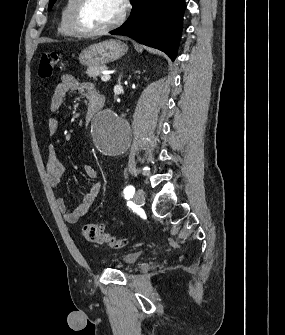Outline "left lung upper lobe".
<instances>
[{
  "label": "left lung upper lobe",
  "instance_id": "1",
  "mask_svg": "<svg viewBox=\"0 0 285 335\" xmlns=\"http://www.w3.org/2000/svg\"><path fill=\"white\" fill-rule=\"evenodd\" d=\"M55 2H56V0H50L49 1L48 10H50L52 8V6L54 5Z\"/></svg>",
  "mask_w": 285,
  "mask_h": 335
}]
</instances>
